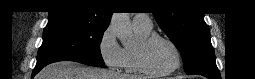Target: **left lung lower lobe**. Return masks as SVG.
Masks as SVG:
<instances>
[{
  "mask_svg": "<svg viewBox=\"0 0 255 79\" xmlns=\"http://www.w3.org/2000/svg\"><path fill=\"white\" fill-rule=\"evenodd\" d=\"M199 75L205 76L209 79H220V73L219 72H201V73H197Z\"/></svg>",
  "mask_w": 255,
  "mask_h": 79,
  "instance_id": "left-lung-lower-lobe-1",
  "label": "left lung lower lobe"
}]
</instances>
